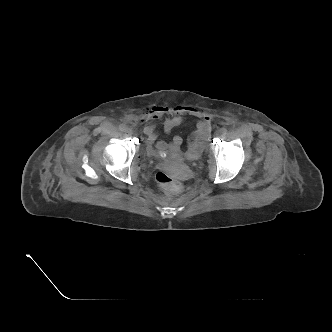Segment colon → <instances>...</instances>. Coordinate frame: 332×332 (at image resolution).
<instances>
[{
    "mask_svg": "<svg viewBox=\"0 0 332 332\" xmlns=\"http://www.w3.org/2000/svg\"><path fill=\"white\" fill-rule=\"evenodd\" d=\"M156 181L158 185L168 193H177L183 187L181 181L173 178L172 176L163 171H160L156 174Z\"/></svg>",
    "mask_w": 332,
    "mask_h": 332,
    "instance_id": "1",
    "label": "colon"
}]
</instances>
